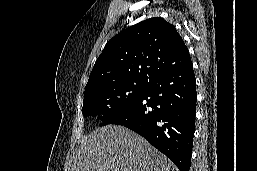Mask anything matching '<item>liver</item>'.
Instances as JSON below:
<instances>
[{"mask_svg":"<svg viewBox=\"0 0 257 171\" xmlns=\"http://www.w3.org/2000/svg\"><path fill=\"white\" fill-rule=\"evenodd\" d=\"M70 171H174V166L135 132L107 125L82 139Z\"/></svg>","mask_w":257,"mask_h":171,"instance_id":"liver-1","label":"liver"}]
</instances>
